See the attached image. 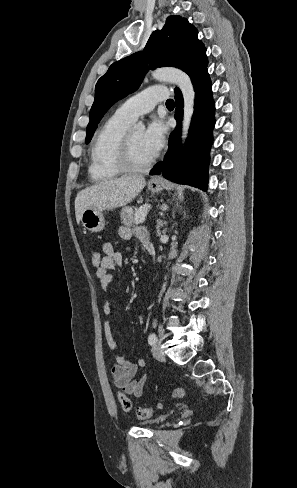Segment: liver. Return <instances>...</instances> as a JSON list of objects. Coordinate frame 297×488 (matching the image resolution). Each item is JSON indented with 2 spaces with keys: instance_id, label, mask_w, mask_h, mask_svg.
Masks as SVG:
<instances>
[{
  "instance_id": "1",
  "label": "liver",
  "mask_w": 297,
  "mask_h": 488,
  "mask_svg": "<svg viewBox=\"0 0 297 488\" xmlns=\"http://www.w3.org/2000/svg\"><path fill=\"white\" fill-rule=\"evenodd\" d=\"M143 176H123L81 190L75 199L76 220L86 209L110 210L130 203L145 187Z\"/></svg>"
}]
</instances>
